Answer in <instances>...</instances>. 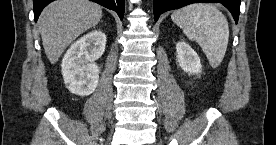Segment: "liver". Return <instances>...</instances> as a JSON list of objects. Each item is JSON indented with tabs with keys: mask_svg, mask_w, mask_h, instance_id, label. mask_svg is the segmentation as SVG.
<instances>
[{
	"mask_svg": "<svg viewBox=\"0 0 276 145\" xmlns=\"http://www.w3.org/2000/svg\"><path fill=\"white\" fill-rule=\"evenodd\" d=\"M102 18V7L89 0H57L50 3L39 18V31L45 54L51 64L82 33Z\"/></svg>",
	"mask_w": 276,
	"mask_h": 145,
	"instance_id": "1",
	"label": "liver"
}]
</instances>
